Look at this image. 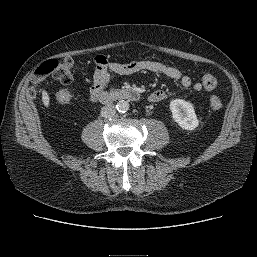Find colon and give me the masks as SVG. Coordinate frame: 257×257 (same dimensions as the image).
<instances>
[{"label": "colon", "instance_id": "obj_1", "mask_svg": "<svg viewBox=\"0 0 257 257\" xmlns=\"http://www.w3.org/2000/svg\"><path fill=\"white\" fill-rule=\"evenodd\" d=\"M158 62L164 63L162 60ZM74 61L67 57L61 60H48L41 64L34 77L35 85L40 84L47 76H52L57 81L63 84H68L73 79ZM202 85L207 90H213L217 86L216 78L211 74H205L202 77ZM32 94H35V88H32ZM73 99V94L68 90H62L57 95V100L61 104H69ZM212 109L219 110L222 107V100L217 95H212L209 99Z\"/></svg>", "mask_w": 257, "mask_h": 257}]
</instances>
